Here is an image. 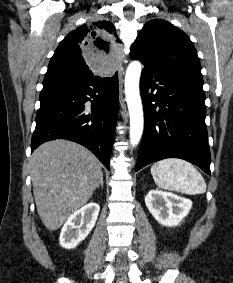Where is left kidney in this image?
Masks as SVG:
<instances>
[{
	"mask_svg": "<svg viewBox=\"0 0 233 283\" xmlns=\"http://www.w3.org/2000/svg\"><path fill=\"white\" fill-rule=\"evenodd\" d=\"M145 204L153 217L168 227L179 225L192 207L191 200L159 190L149 191Z\"/></svg>",
	"mask_w": 233,
	"mask_h": 283,
	"instance_id": "obj_1",
	"label": "left kidney"
}]
</instances>
